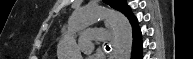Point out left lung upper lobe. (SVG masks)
Masks as SVG:
<instances>
[{"instance_id": "obj_1", "label": "left lung upper lobe", "mask_w": 193, "mask_h": 59, "mask_svg": "<svg viewBox=\"0 0 193 59\" xmlns=\"http://www.w3.org/2000/svg\"><path fill=\"white\" fill-rule=\"evenodd\" d=\"M103 2L122 12L127 18L132 15L130 7L127 5L126 0H103Z\"/></svg>"}]
</instances>
